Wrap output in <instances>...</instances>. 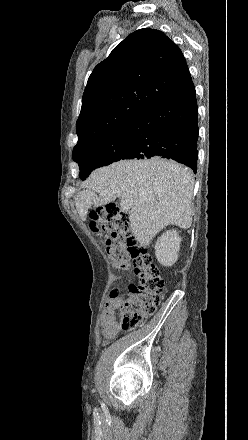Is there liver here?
Instances as JSON below:
<instances>
[{
    "label": "liver",
    "instance_id": "6515ba94",
    "mask_svg": "<svg viewBox=\"0 0 248 440\" xmlns=\"http://www.w3.org/2000/svg\"><path fill=\"white\" fill-rule=\"evenodd\" d=\"M193 186L192 171L174 161L121 160L93 171L75 203L85 221L91 206L106 205L117 197L133 200L129 211L132 233L146 248L168 225L191 226Z\"/></svg>",
    "mask_w": 248,
    "mask_h": 440
}]
</instances>
